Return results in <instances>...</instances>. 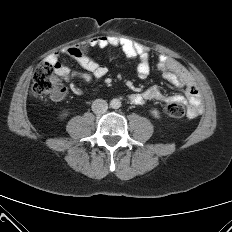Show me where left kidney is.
Here are the masks:
<instances>
[{"mask_svg": "<svg viewBox=\"0 0 232 232\" xmlns=\"http://www.w3.org/2000/svg\"><path fill=\"white\" fill-rule=\"evenodd\" d=\"M151 114H152L155 118H159V117H160V113H159V111H157L156 109L151 110Z\"/></svg>", "mask_w": 232, "mask_h": 232, "instance_id": "5707ae66", "label": "left kidney"}]
</instances>
